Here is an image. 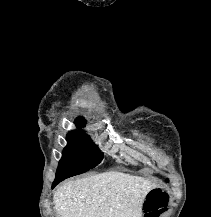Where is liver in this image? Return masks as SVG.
<instances>
[{
	"instance_id": "6515ba94",
	"label": "liver",
	"mask_w": 211,
	"mask_h": 217,
	"mask_svg": "<svg viewBox=\"0 0 211 217\" xmlns=\"http://www.w3.org/2000/svg\"><path fill=\"white\" fill-rule=\"evenodd\" d=\"M157 185L122 172L66 182L54 193L58 217H142L147 194Z\"/></svg>"
}]
</instances>
